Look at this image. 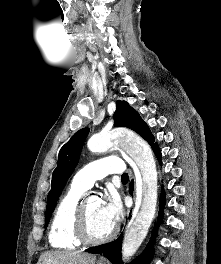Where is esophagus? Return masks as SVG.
I'll list each match as a JSON object with an SVG mask.
<instances>
[{
    "label": "esophagus",
    "mask_w": 221,
    "mask_h": 264,
    "mask_svg": "<svg viewBox=\"0 0 221 264\" xmlns=\"http://www.w3.org/2000/svg\"><path fill=\"white\" fill-rule=\"evenodd\" d=\"M100 260H101V261H104V259H103L102 257L100 258Z\"/></svg>",
    "instance_id": "1"
}]
</instances>
